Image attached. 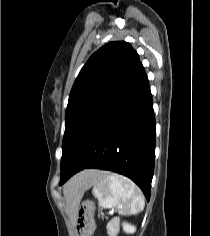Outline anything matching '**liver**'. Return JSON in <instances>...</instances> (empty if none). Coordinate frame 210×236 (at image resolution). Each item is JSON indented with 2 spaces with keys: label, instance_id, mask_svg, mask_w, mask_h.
<instances>
[{
  "label": "liver",
  "instance_id": "obj_1",
  "mask_svg": "<svg viewBox=\"0 0 210 236\" xmlns=\"http://www.w3.org/2000/svg\"><path fill=\"white\" fill-rule=\"evenodd\" d=\"M103 173L104 172L98 170H85L72 177L65 184L63 193L72 219L75 217L77 206L83 193L89 189L94 181Z\"/></svg>",
  "mask_w": 210,
  "mask_h": 236
}]
</instances>
